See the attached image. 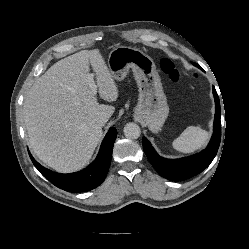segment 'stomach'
<instances>
[{
	"label": "stomach",
	"instance_id": "stomach-1",
	"mask_svg": "<svg viewBox=\"0 0 249 249\" xmlns=\"http://www.w3.org/2000/svg\"><path fill=\"white\" fill-rule=\"evenodd\" d=\"M108 68L117 81L123 80L132 69L139 88L135 116L144 121L152 132L160 131L169 107L152 58L139 49L119 46L110 52Z\"/></svg>",
	"mask_w": 249,
	"mask_h": 249
}]
</instances>
